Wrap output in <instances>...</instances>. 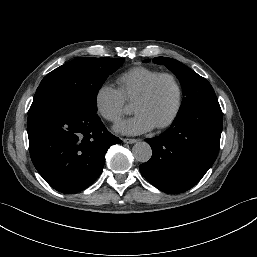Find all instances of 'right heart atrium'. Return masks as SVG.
Wrapping results in <instances>:
<instances>
[{"label": "right heart atrium", "mask_w": 257, "mask_h": 257, "mask_svg": "<svg viewBox=\"0 0 257 257\" xmlns=\"http://www.w3.org/2000/svg\"><path fill=\"white\" fill-rule=\"evenodd\" d=\"M94 101L97 112L109 122H117L127 109L123 95L109 84H102L97 89Z\"/></svg>", "instance_id": "1"}]
</instances>
